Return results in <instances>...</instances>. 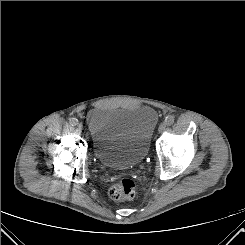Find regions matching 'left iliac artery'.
<instances>
[{"mask_svg": "<svg viewBox=\"0 0 245 245\" xmlns=\"http://www.w3.org/2000/svg\"><path fill=\"white\" fill-rule=\"evenodd\" d=\"M174 123V117L173 116H167L165 119V124L167 126H171Z\"/></svg>", "mask_w": 245, "mask_h": 245, "instance_id": "1", "label": "left iliac artery"}]
</instances>
